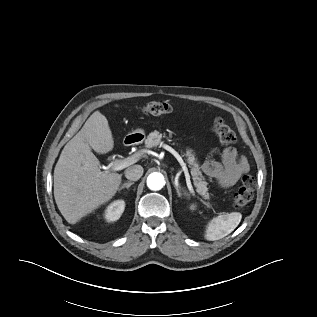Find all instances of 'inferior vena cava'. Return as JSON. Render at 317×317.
<instances>
[{
  "mask_svg": "<svg viewBox=\"0 0 317 317\" xmlns=\"http://www.w3.org/2000/svg\"><path fill=\"white\" fill-rule=\"evenodd\" d=\"M143 175V167L141 165H133L125 170V177L131 181H137Z\"/></svg>",
  "mask_w": 317,
  "mask_h": 317,
  "instance_id": "602c4592",
  "label": "inferior vena cava"
}]
</instances>
